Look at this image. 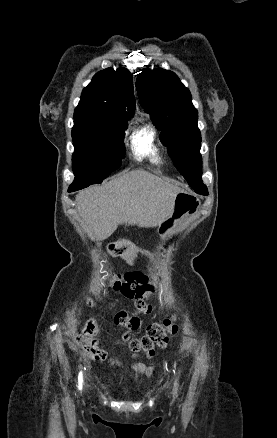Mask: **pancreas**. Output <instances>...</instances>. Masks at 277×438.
<instances>
[{
	"label": "pancreas",
	"instance_id": "obj_1",
	"mask_svg": "<svg viewBox=\"0 0 277 438\" xmlns=\"http://www.w3.org/2000/svg\"><path fill=\"white\" fill-rule=\"evenodd\" d=\"M108 244H118L119 246H120V241H109V243ZM125 245L128 247V248H131L133 251L134 250H138L139 248L136 246V247H134V245H135V242L132 240V239H128L126 242H125Z\"/></svg>",
	"mask_w": 277,
	"mask_h": 438
}]
</instances>
